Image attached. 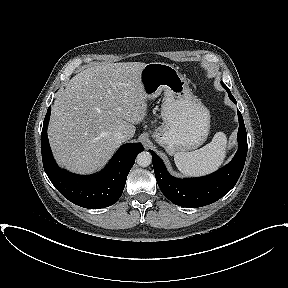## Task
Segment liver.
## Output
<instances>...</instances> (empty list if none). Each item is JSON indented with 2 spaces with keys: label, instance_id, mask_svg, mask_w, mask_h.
Segmentation results:
<instances>
[{
  "label": "liver",
  "instance_id": "6515ba94",
  "mask_svg": "<svg viewBox=\"0 0 288 288\" xmlns=\"http://www.w3.org/2000/svg\"><path fill=\"white\" fill-rule=\"evenodd\" d=\"M143 62L97 65L75 75L56 97L48 127L56 161L70 171L88 174L103 166L147 116L140 81ZM124 142V141H123Z\"/></svg>",
  "mask_w": 288,
  "mask_h": 288
}]
</instances>
